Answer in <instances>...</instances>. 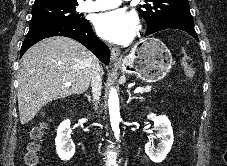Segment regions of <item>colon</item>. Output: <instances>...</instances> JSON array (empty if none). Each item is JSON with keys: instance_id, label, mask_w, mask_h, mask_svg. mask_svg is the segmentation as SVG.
Listing matches in <instances>:
<instances>
[{"instance_id": "obj_1", "label": "colon", "mask_w": 227, "mask_h": 166, "mask_svg": "<svg viewBox=\"0 0 227 166\" xmlns=\"http://www.w3.org/2000/svg\"><path fill=\"white\" fill-rule=\"evenodd\" d=\"M180 64L183 67L185 74L187 76H192L194 74V67L191 57L187 53H183L180 57ZM41 136V130L39 127H36L31 132L32 141L29 144L28 153L26 156V161L29 165H37V141Z\"/></svg>"}]
</instances>
